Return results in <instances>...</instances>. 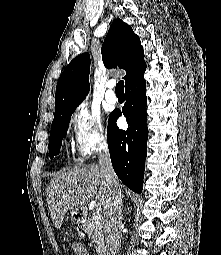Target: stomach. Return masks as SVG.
I'll list each match as a JSON object with an SVG mask.
<instances>
[{
  "mask_svg": "<svg viewBox=\"0 0 221 255\" xmlns=\"http://www.w3.org/2000/svg\"><path fill=\"white\" fill-rule=\"evenodd\" d=\"M72 217L74 220L76 221H81V213H80V210H74L72 211Z\"/></svg>",
  "mask_w": 221,
  "mask_h": 255,
  "instance_id": "1",
  "label": "stomach"
}]
</instances>
